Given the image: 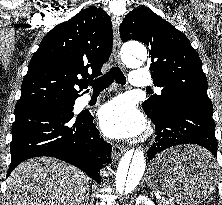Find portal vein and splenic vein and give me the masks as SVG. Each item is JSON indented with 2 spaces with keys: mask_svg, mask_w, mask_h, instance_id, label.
<instances>
[{
  "mask_svg": "<svg viewBox=\"0 0 222 205\" xmlns=\"http://www.w3.org/2000/svg\"><path fill=\"white\" fill-rule=\"evenodd\" d=\"M156 198H157V199H161V198H160V196H159V195H157V194H156Z\"/></svg>",
  "mask_w": 222,
  "mask_h": 205,
  "instance_id": "18ae733b",
  "label": "portal vein and splenic vein"
}]
</instances>
